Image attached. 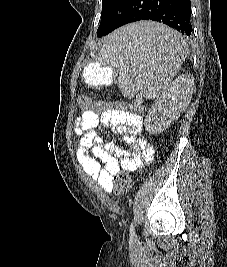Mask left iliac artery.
<instances>
[{"label":"left iliac artery","instance_id":"left-iliac-artery-1","mask_svg":"<svg viewBox=\"0 0 227 267\" xmlns=\"http://www.w3.org/2000/svg\"><path fill=\"white\" fill-rule=\"evenodd\" d=\"M130 235H131V237H134L135 236V230H134V224H133V222L131 223V226H130Z\"/></svg>","mask_w":227,"mask_h":267}]
</instances>
